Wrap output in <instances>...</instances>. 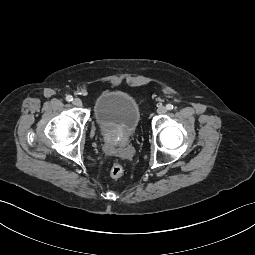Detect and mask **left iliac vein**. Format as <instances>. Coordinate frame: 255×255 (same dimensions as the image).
Segmentation results:
<instances>
[{
	"label": "left iliac vein",
	"mask_w": 255,
	"mask_h": 255,
	"mask_svg": "<svg viewBox=\"0 0 255 255\" xmlns=\"http://www.w3.org/2000/svg\"><path fill=\"white\" fill-rule=\"evenodd\" d=\"M157 112L161 115L165 114L167 112V108L165 106H161L157 109Z\"/></svg>",
	"instance_id": "obj_1"
}]
</instances>
